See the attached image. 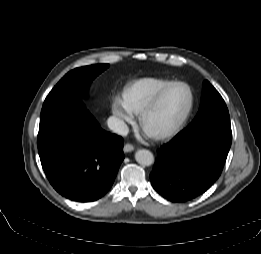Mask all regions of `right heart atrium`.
I'll use <instances>...</instances> for the list:
<instances>
[{"mask_svg": "<svg viewBox=\"0 0 261 254\" xmlns=\"http://www.w3.org/2000/svg\"><path fill=\"white\" fill-rule=\"evenodd\" d=\"M112 112L121 127H125L127 124L131 123L136 115L131 110L126 96L115 97L112 105Z\"/></svg>", "mask_w": 261, "mask_h": 254, "instance_id": "1", "label": "right heart atrium"}]
</instances>
